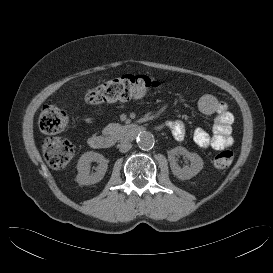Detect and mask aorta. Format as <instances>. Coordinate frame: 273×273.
I'll return each mask as SVG.
<instances>
[{"label":"aorta","instance_id":"762f6f07","mask_svg":"<svg viewBox=\"0 0 273 273\" xmlns=\"http://www.w3.org/2000/svg\"><path fill=\"white\" fill-rule=\"evenodd\" d=\"M154 136L149 132H143L137 137V145L142 150H150L154 147Z\"/></svg>","mask_w":273,"mask_h":273}]
</instances>
